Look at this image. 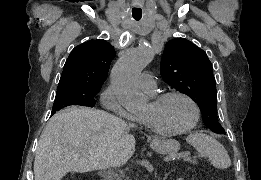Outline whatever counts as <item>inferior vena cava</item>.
<instances>
[{
	"label": "inferior vena cava",
	"mask_w": 261,
	"mask_h": 180,
	"mask_svg": "<svg viewBox=\"0 0 261 180\" xmlns=\"http://www.w3.org/2000/svg\"><path fill=\"white\" fill-rule=\"evenodd\" d=\"M118 164H120V166H124V164H127V160H120Z\"/></svg>",
	"instance_id": "obj_1"
}]
</instances>
